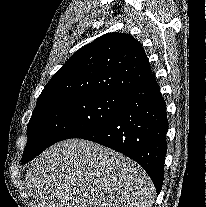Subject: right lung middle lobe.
Masks as SVG:
<instances>
[{
    "mask_svg": "<svg viewBox=\"0 0 206 207\" xmlns=\"http://www.w3.org/2000/svg\"><path fill=\"white\" fill-rule=\"evenodd\" d=\"M125 99V94H94L60 97L37 104L28 124V142L22 160L107 121L122 108Z\"/></svg>",
    "mask_w": 206,
    "mask_h": 207,
    "instance_id": "1",
    "label": "right lung middle lobe"
}]
</instances>
